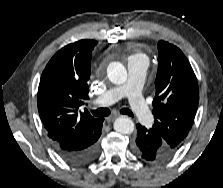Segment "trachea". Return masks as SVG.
Listing matches in <instances>:
<instances>
[{
    "instance_id": "trachea-1",
    "label": "trachea",
    "mask_w": 223,
    "mask_h": 188,
    "mask_svg": "<svg viewBox=\"0 0 223 188\" xmlns=\"http://www.w3.org/2000/svg\"><path fill=\"white\" fill-rule=\"evenodd\" d=\"M110 113H111V111L108 108H99L97 110L92 111V114L97 117H106V116L110 115ZM120 113L133 117L132 111L129 110L128 108L121 109Z\"/></svg>"
}]
</instances>
